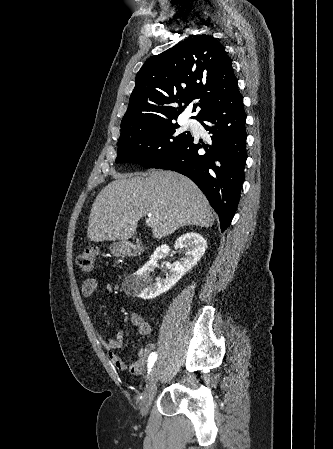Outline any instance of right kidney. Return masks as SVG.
I'll return each mask as SVG.
<instances>
[{
    "instance_id": "obj_1",
    "label": "right kidney",
    "mask_w": 333,
    "mask_h": 449,
    "mask_svg": "<svg viewBox=\"0 0 333 449\" xmlns=\"http://www.w3.org/2000/svg\"><path fill=\"white\" fill-rule=\"evenodd\" d=\"M206 247L207 242L200 234L188 232L182 235L175 242V248H185V257L173 264L165 278L152 281L149 278L150 272L157 266L158 260L168 255L170 250L166 244L158 247L150 260L135 275L138 297L145 300L153 299L167 292L197 264Z\"/></svg>"
}]
</instances>
